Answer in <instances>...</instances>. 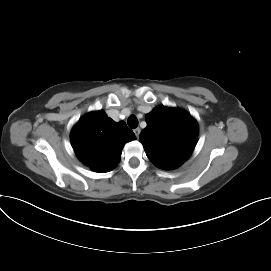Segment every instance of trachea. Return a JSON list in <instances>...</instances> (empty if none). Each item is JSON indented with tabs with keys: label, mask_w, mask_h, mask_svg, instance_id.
<instances>
[{
	"label": "trachea",
	"mask_w": 271,
	"mask_h": 271,
	"mask_svg": "<svg viewBox=\"0 0 271 271\" xmlns=\"http://www.w3.org/2000/svg\"><path fill=\"white\" fill-rule=\"evenodd\" d=\"M127 123L129 125V127L132 129H134L138 126V120H137L136 116H134V115L129 116Z\"/></svg>",
	"instance_id": "obj_1"
}]
</instances>
